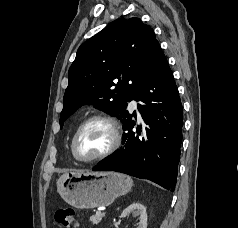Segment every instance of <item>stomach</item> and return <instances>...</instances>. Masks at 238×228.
<instances>
[{"label":"stomach","instance_id":"1","mask_svg":"<svg viewBox=\"0 0 238 228\" xmlns=\"http://www.w3.org/2000/svg\"><path fill=\"white\" fill-rule=\"evenodd\" d=\"M131 177L112 171L67 172L57 181L63 200L78 209L110 205L132 188Z\"/></svg>","mask_w":238,"mask_h":228}]
</instances>
